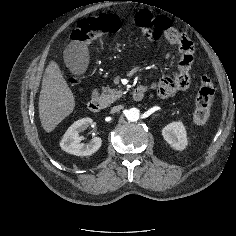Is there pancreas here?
<instances>
[{
    "label": "pancreas",
    "mask_w": 236,
    "mask_h": 236,
    "mask_svg": "<svg viewBox=\"0 0 236 236\" xmlns=\"http://www.w3.org/2000/svg\"><path fill=\"white\" fill-rule=\"evenodd\" d=\"M93 95L104 106H108L122 96V91L111 89L109 87H103L101 94H99L97 91H94Z\"/></svg>",
    "instance_id": "1"
}]
</instances>
